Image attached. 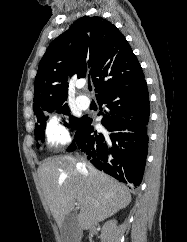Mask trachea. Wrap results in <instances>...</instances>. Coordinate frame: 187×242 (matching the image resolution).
Masks as SVG:
<instances>
[{"instance_id":"3493384b","label":"trachea","mask_w":187,"mask_h":242,"mask_svg":"<svg viewBox=\"0 0 187 242\" xmlns=\"http://www.w3.org/2000/svg\"><path fill=\"white\" fill-rule=\"evenodd\" d=\"M88 89L89 91H92V86L90 84L88 85Z\"/></svg>"}]
</instances>
